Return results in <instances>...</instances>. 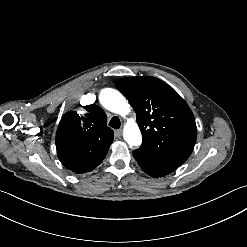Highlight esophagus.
<instances>
[{"mask_svg": "<svg viewBox=\"0 0 247 247\" xmlns=\"http://www.w3.org/2000/svg\"><path fill=\"white\" fill-rule=\"evenodd\" d=\"M122 136V131L121 130H115V137L120 138Z\"/></svg>", "mask_w": 247, "mask_h": 247, "instance_id": "esophagus-1", "label": "esophagus"}]
</instances>
